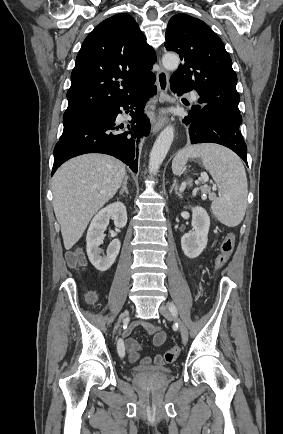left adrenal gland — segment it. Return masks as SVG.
<instances>
[{
	"mask_svg": "<svg viewBox=\"0 0 283 434\" xmlns=\"http://www.w3.org/2000/svg\"><path fill=\"white\" fill-rule=\"evenodd\" d=\"M178 189H179V186L177 185L176 179H174L173 184H172V187H171V189H170V194H171L172 191L174 190V191H175V194H176L178 197H182V194H181V192H180Z\"/></svg>",
	"mask_w": 283,
	"mask_h": 434,
	"instance_id": "left-adrenal-gland-1",
	"label": "left adrenal gland"
}]
</instances>
